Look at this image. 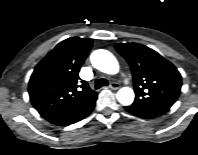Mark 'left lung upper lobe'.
<instances>
[{
    "label": "left lung upper lobe",
    "mask_w": 198,
    "mask_h": 155,
    "mask_svg": "<svg viewBox=\"0 0 198 155\" xmlns=\"http://www.w3.org/2000/svg\"><path fill=\"white\" fill-rule=\"evenodd\" d=\"M115 48L131 67L136 94L132 105L170 109L182 86L176 67L156 51L138 43H118Z\"/></svg>",
    "instance_id": "obj_1"
}]
</instances>
